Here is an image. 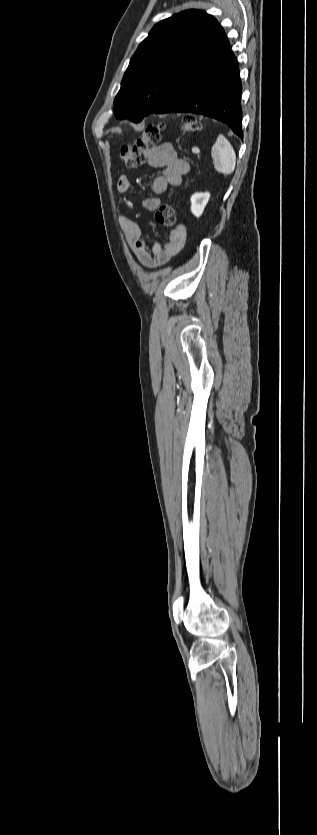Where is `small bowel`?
I'll return each instance as SVG.
<instances>
[{
	"label": "small bowel",
	"mask_w": 317,
	"mask_h": 835,
	"mask_svg": "<svg viewBox=\"0 0 317 835\" xmlns=\"http://www.w3.org/2000/svg\"><path fill=\"white\" fill-rule=\"evenodd\" d=\"M147 162L152 167L163 168L162 174L155 177L151 184L154 196L143 201V206L148 211H155L161 204L159 196L167 190L169 185H180L183 176L189 172L190 166L187 161L177 155L170 143L151 147L147 153ZM131 188V180L126 175H121L117 181V190L121 194H129ZM119 223L128 245L138 262L145 268L155 269L164 265L184 247L186 228L183 225H179L171 232L164 247L159 243L148 247L143 239L142 229L136 221L122 215L119 217Z\"/></svg>",
	"instance_id": "obj_1"
}]
</instances>
